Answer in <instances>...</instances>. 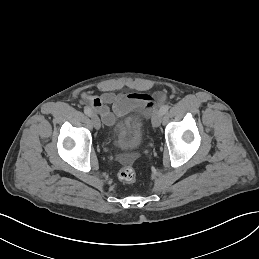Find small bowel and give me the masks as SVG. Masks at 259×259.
Instances as JSON below:
<instances>
[{
    "label": "small bowel",
    "instance_id": "1",
    "mask_svg": "<svg viewBox=\"0 0 259 259\" xmlns=\"http://www.w3.org/2000/svg\"><path fill=\"white\" fill-rule=\"evenodd\" d=\"M100 96L82 93V100L87 103L96 113L99 114L104 124L113 126L116 117H127L129 127H139V122L133 116L136 109L143 111L144 117L148 118L154 111L156 102L165 100V96L160 94L153 99L141 93H119L116 94L107 88H102Z\"/></svg>",
    "mask_w": 259,
    "mask_h": 259
}]
</instances>
